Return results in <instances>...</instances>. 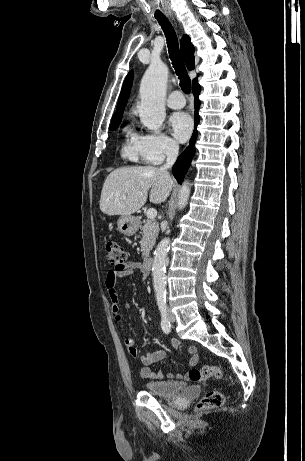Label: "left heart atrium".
<instances>
[{"mask_svg": "<svg viewBox=\"0 0 305 461\" xmlns=\"http://www.w3.org/2000/svg\"><path fill=\"white\" fill-rule=\"evenodd\" d=\"M170 126L172 133L180 142L186 141L193 128L192 119L184 112H176L170 117Z\"/></svg>", "mask_w": 305, "mask_h": 461, "instance_id": "obj_1", "label": "left heart atrium"}]
</instances>
